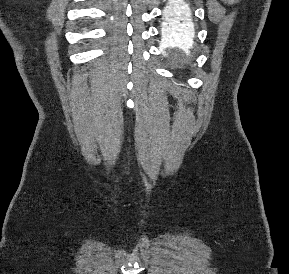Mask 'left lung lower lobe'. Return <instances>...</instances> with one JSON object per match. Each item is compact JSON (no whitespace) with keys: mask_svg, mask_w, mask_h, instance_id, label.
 I'll return each mask as SVG.
<instances>
[{"mask_svg":"<svg viewBox=\"0 0 289 274\" xmlns=\"http://www.w3.org/2000/svg\"><path fill=\"white\" fill-rule=\"evenodd\" d=\"M188 24L187 10L178 4H173L166 11V21L163 28L164 38L175 40L191 36L192 28Z\"/></svg>","mask_w":289,"mask_h":274,"instance_id":"left-lung-lower-lobe-1","label":"left lung lower lobe"}]
</instances>
